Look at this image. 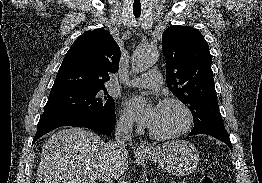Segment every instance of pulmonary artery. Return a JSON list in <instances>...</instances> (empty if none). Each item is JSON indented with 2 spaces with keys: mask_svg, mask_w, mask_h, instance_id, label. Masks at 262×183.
I'll use <instances>...</instances> for the list:
<instances>
[{
  "mask_svg": "<svg viewBox=\"0 0 262 183\" xmlns=\"http://www.w3.org/2000/svg\"><path fill=\"white\" fill-rule=\"evenodd\" d=\"M163 84L161 74L158 70H150L149 72L131 79L127 82L128 86L144 87L150 89L160 88Z\"/></svg>",
  "mask_w": 262,
  "mask_h": 183,
  "instance_id": "1",
  "label": "pulmonary artery"
}]
</instances>
